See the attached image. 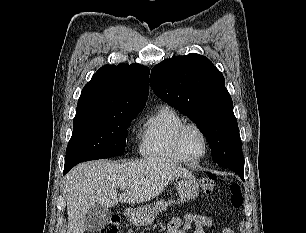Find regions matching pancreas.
<instances>
[{
    "instance_id": "obj_1",
    "label": "pancreas",
    "mask_w": 306,
    "mask_h": 233,
    "mask_svg": "<svg viewBox=\"0 0 306 233\" xmlns=\"http://www.w3.org/2000/svg\"><path fill=\"white\" fill-rule=\"evenodd\" d=\"M177 202L175 200H169V201H166V200H160V201H157L156 202V206L155 208L157 209V211L161 212L163 210H166V208L168 207V205H171V204H176Z\"/></svg>"
}]
</instances>
